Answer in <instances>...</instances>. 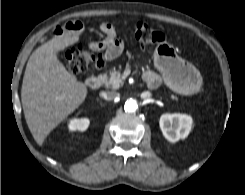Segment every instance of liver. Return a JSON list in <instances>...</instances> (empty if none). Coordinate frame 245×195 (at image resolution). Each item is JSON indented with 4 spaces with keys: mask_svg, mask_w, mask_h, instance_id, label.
Returning a JSON list of instances; mask_svg holds the SVG:
<instances>
[{
    "mask_svg": "<svg viewBox=\"0 0 245 195\" xmlns=\"http://www.w3.org/2000/svg\"><path fill=\"white\" fill-rule=\"evenodd\" d=\"M78 41V36L54 37L38 47L27 62L21 101L28 128L40 146L87 97L86 85L57 58L59 51Z\"/></svg>",
    "mask_w": 245,
    "mask_h": 195,
    "instance_id": "1",
    "label": "liver"
}]
</instances>
